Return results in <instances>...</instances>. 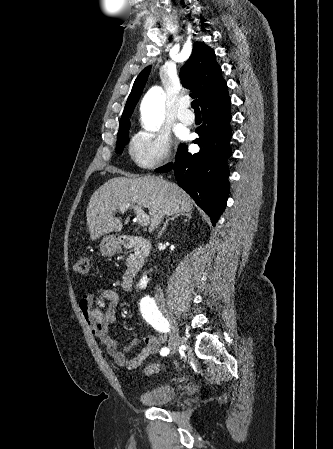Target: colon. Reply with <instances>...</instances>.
<instances>
[{"label": "colon", "instance_id": "colon-1", "mask_svg": "<svg viewBox=\"0 0 333 449\" xmlns=\"http://www.w3.org/2000/svg\"><path fill=\"white\" fill-rule=\"evenodd\" d=\"M90 261L88 257H80L74 262L73 270L80 275H87L89 273ZM161 370V365L150 364L144 369V373L147 375H152Z\"/></svg>", "mask_w": 333, "mask_h": 449}]
</instances>
